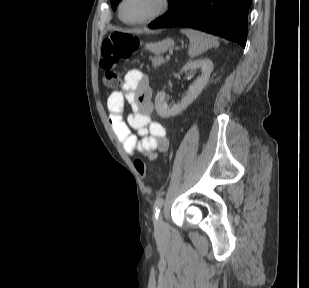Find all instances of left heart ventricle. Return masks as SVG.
Segmentation results:
<instances>
[{"label":"left heart ventricle","mask_w":309,"mask_h":288,"mask_svg":"<svg viewBox=\"0 0 309 288\" xmlns=\"http://www.w3.org/2000/svg\"><path fill=\"white\" fill-rule=\"evenodd\" d=\"M158 7V0H127L123 16L128 21H137L152 14Z\"/></svg>","instance_id":"b2bd125f"}]
</instances>
